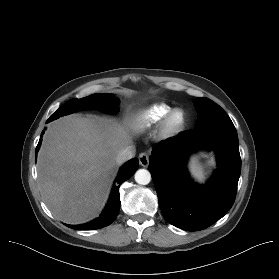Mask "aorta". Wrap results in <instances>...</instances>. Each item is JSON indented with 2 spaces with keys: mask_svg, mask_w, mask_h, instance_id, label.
<instances>
[{
  "mask_svg": "<svg viewBox=\"0 0 279 279\" xmlns=\"http://www.w3.org/2000/svg\"><path fill=\"white\" fill-rule=\"evenodd\" d=\"M135 181L140 185H147L151 181V174L146 169H139L135 173Z\"/></svg>",
  "mask_w": 279,
  "mask_h": 279,
  "instance_id": "aorta-1",
  "label": "aorta"
}]
</instances>
